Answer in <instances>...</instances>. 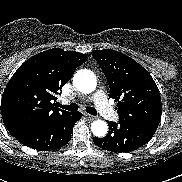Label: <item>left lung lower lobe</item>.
<instances>
[{
  "mask_svg": "<svg viewBox=\"0 0 182 182\" xmlns=\"http://www.w3.org/2000/svg\"><path fill=\"white\" fill-rule=\"evenodd\" d=\"M109 132L103 138H93L95 145L113 152H130L145 145L156 132L157 127L142 122L119 120L108 122Z\"/></svg>",
  "mask_w": 182,
  "mask_h": 182,
  "instance_id": "obj_1",
  "label": "left lung lower lobe"
}]
</instances>
